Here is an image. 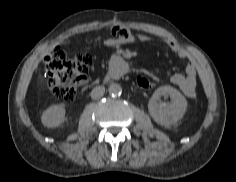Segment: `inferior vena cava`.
Instances as JSON below:
<instances>
[{
	"mask_svg": "<svg viewBox=\"0 0 236 182\" xmlns=\"http://www.w3.org/2000/svg\"><path fill=\"white\" fill-rule=\"evenodd\" d=\"M104 93H105V88L103 86H97L93 88L90 95L91 98L93 99H99L104 95Z\"/></svg>",
	"mask_w": 236,
	"mask_h": 182,
	"instance_id": "inferior-vena-cava-1",
	"label": "inferior vena cava"
}]
</instances>
